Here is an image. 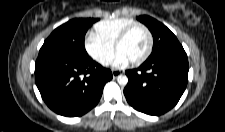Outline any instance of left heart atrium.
<instances>
[{
    "label": "left heart atrium",
    "instance_id": "obj_1",
    "mask_svg": "<svg viewBox=\"0 0 225 132\" xmlns=\"http://www.w3.org/2000/svg\"><path fill=\"white\" fill-rule=\"evenodd\" d=\"M128 62H129V60L127 59V57L125 55H123L122 53L118 52L114 59L113 65L115 67H122V66L126 65Z\"/></svg>",
    "mask_w": 225,
    "mask_h": 132
}]
</instances>
